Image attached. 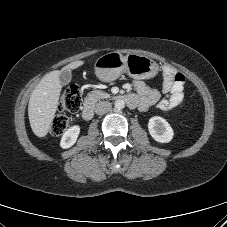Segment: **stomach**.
Here are the masks:
<instances>
[{
    "label": "stomach",
    "mask_w": 227,
    "mask_h": 227,
    "mask_svg": "<svg viewBox=\"0 0 227 227\" xmlns=\"http://www.w3.org/2000/svg\"><path fill=\"white\" fill-rule=\"evenodd\" d=\"M94 68L96 76L105 82L116 80L123 72L135 79H149L159 71L158 64L147 56L139 54L123 56L119 52L100 56Z\"/></svg>",
    "instance_id": "obj_1"
}]
</instances>
